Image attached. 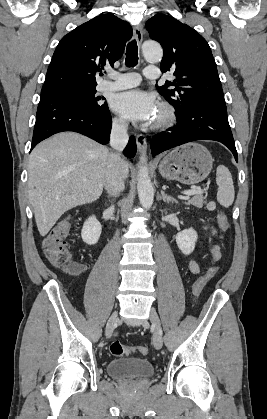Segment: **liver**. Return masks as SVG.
I'll return each mask as SVG.
<instances>
[{
    "label": "liver",
    "instance_id": "liver-1",
    "mask_svg": "<svg viewBox=\"0 0 267 419\" xmlns=\"http://www.w3.org/2000/svg\"><path fill=\"white\" fill-rule=\"evenodd\" d=\"M110 152L74 132H62L38 144L28 163V194L38 231L45 236L68 210L102 194ZM126 177L128 163L123 160Z\"/></svg>",
    "mask_w": 267,
    "mask_h": 419
}]
</instances>
